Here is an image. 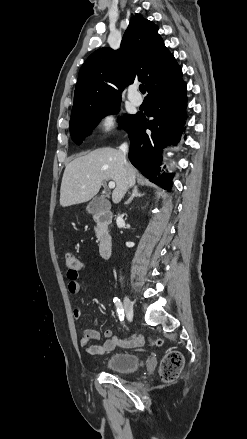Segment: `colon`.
Returning <instances> with one entry per match:
<instances>
[{
	"instance_id": "colon-1",
	"label": "colon",
	"mask_w": 247,
	"mask_h": 439,
	"mask_svg": "<svg viewBox=\"0 0 247 439\" xmlns=\"http://www.w3.org/2000/svg\"><path fill=\"white\" fill-rule=\"evenodd\" d=\"M66 265L69 270L81 271L84 268V263L74 254L65 255ZM152 344L158 346L159 340L152 341ZM184 365V358L178 351L167 352L160 363V377L165 383H171L175 381Z\"/></svg>"
}]
</instances>
